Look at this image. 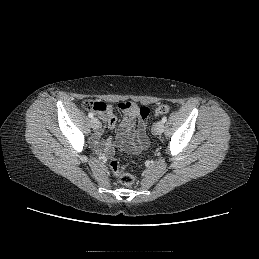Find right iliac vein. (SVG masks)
<instances>
[{
    "instance_id": "obj_1",
    "label": "right iliac vein",
    "mask_w": 259,
    "mask_h": 259,
    "mask_svg": "<svg viewBox=\"0 0 259 259\" xmlns=\"http://www.w3.org/2000/svg\"><path fill=\"white\" fill-rule=\"evenodd\" d=\"M91 127L94 130L99 128V121L96 118H92V120H91Z\"/></svg>"
}]
</instances>
